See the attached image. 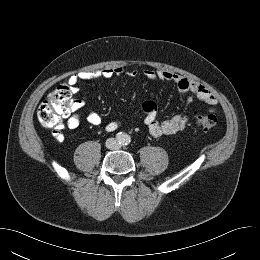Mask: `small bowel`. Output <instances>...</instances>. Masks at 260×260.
<instances>
[{"mask_svg":"<svg viewBox=\"0 0 260 260\" xmlns=\"http://www.w3.org/2000/svg\"><path fill=\"white\" fill-rule=\"evenodd\" d=\"M124 74L122 67H108L103 69L81 71L69 77V83L74 91H77L78 84L83 80L94 79H109L114 76H121ZM128 76L135 78L139 75V72L135 69L127 72ZM143 76L148 80H164L175 84L177 91L181 95L190 94L187 98V104H189L194 98L201 102L213 107L217 104V98L215 95L203 84L191 80L187 77L174 74L167 70H154L144 69ZM82 107L81 100H73L70 104L69 111L66 118V125L69 129H76L81 122V116L79 110ZM141 116L146 124L149 132L155 137H162L183 130L189 121V117L184 114H177L167 120L159 122L157 120V106L153 101H145L142 104ZM87 121L92 125H99L101 123L100 115L95 111H90L87 116ZM121 122L110 121L106 124L105 129L108 132L115 131ZM58 140L63 139V134L58 131L55 134Z\"/></svg>","mask_w":260,"mask_h":260,"instance_id":"obj_1","label":"small bowel"}]
</instances>
